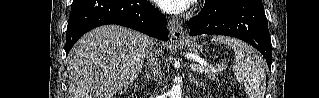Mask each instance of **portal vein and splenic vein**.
Wrapping results in <instances>:
<instances>
[{
  "mask_svg": "<svg viewBox=\"0 0 319 98\" xmlns=\"http://www.w3.org/2000/svg\"><path fill=\"white\" fill-rule=\"evenodd\" d=\"M191 69L194 71L198 72H205L207 70H212V71H221L226 68L224 65H216V66H211L205 62L199 63V64H191L190 65Z\"/></svg>",
  "mask_w": 319,
  "mask_h": 98,
  "instance_id": "18ae733b",
  "label": "portal vein and splenic vein"
}]
</instances>
